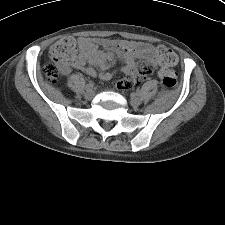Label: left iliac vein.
Wrapping results in <instances>:
<instances>
[{"label": "left iliac vein", "instance_id": "left-iliac-vein-1", "mask_svg": "<svg viewBox=\"0 0 225 225\" xmlns=\"http://www.w3.org/2000/svg\"><path fill=\"white\" fill-rule=\"evenodd\" d=\"M140 103H141L140 98L135 97V96L131 97V99H130V104H131L133 107H137L138 105H140Z\"/></svg>", "mask_w": 225, "mask_h": 225}]
</instances>
